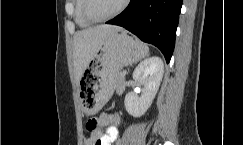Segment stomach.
I'll return each mask as SVG.
<instances>
[{"label": "stomach", "instance_id": "stomach-1", "mask_svg": "<svg viewBox=\"0 0 243 145\" xmlns=\"http://www.w3.org/2000/svg\"><path fill=\"white\" fill-rule=\"evenodd\" d=\"M148 54V47L133 39L126 31L111 34L97 56L85 69L81 82L78 101L82 113L94 116L107 102L117 86L116 75L121 68L138 62Z\"/></svg>", "mask_w": 243, "mask_h": 145}]
</instances>
